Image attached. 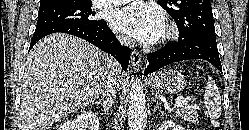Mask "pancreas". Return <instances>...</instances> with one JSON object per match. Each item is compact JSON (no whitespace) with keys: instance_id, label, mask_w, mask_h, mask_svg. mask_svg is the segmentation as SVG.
Instances as JSON below:
<instances>
[{"instance_id":"pancreas-1","label":"pancreas","mask_w":249,"mask_h":130,"mask_svg":"<svg viewBox=\"0 0 249 130\" xmlns=\"http://www.w3.org/2000/svg\"><path fill=\"white\" fill-rule=\"evenodd\" d=\"M176 116L184 118L185 120L197 125L198 121V112L197 107L192 105H185L179 110L176 111Z\"/></svg>"}]
</instances>
